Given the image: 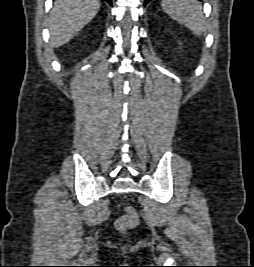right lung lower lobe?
Instances as JSON below:
<instances>
[{"instance_id": "right-lung-lower-lobe-1", "label": "right lung lower lobe", "mask_w": 254, "mask_h": 267, "mask_svg": "<svg viewBox=\"0 0 254 267\" xmlns=\"http://www.w3.org/2000/svg\"><path fill=\"white\" fill-rule=\"evenodd\" d=\"M110 5H112V0H106Z\"/></svg>"}]
</instances>
